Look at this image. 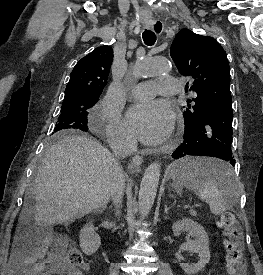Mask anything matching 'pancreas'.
<instances>
[{"mask_svg":"<svg viewBox=\"0 0 263 275\" xmlns=\"http://www.w3.org/2000/svg\"><path fill=\"white\" fill-rule=\"evenodd\" d=\"M190 214H191L192 216H196V215H197V213H196L194 210H191V211H190Z\"/></svg>","mask_w":263,"mask_h":275,"instance_id":"1","label":"pancreas"}]
</instances>
